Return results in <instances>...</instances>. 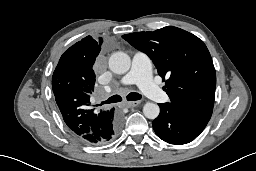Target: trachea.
Returning <instances> with one entry per match:
<instances>
[{"label": "trachea", "mask_w": 256, "mask_h": 171, "mask_svg": "<svg viewBox=\"0 0 256 171\" xmlns=\"http://www.w3.org/2000/svg\"><path fill=\"white\" fill-rule=\"evenodd\" d=\"M141 95L139 93L131 92L127 95V100L128 101H136L141 99ZM122 101L121 96L119 95H113L110 97L108 100L102 102V104H111V103H116Z\"/></svg>", "instance_id": "3493384b"}]
</instances>
